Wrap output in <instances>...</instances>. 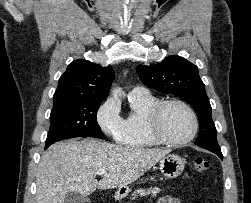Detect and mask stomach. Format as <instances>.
<instances>
[{
	"instance_id": "1",
	"label": "stomach",
	"mask_w": 251,
	"mask_h": 203,
	"mask_svg": "<svg viewBox=\"0 0 251 203\" xmlns=\"http://www.w3.org/2000/svg\"><path fill=\"white\" fill-rule=\"evenodd\" d=\"M185 161L183 158L176 154H169L163 157L159 162V169L162 175L166 178H176L179 176L184 169ZM148 179L152 178L144 177L141 179V182H146ZM130 188L128 186H122L116 192V196L123 198L128 195Z\"/></svg>"
}]
</instances>
